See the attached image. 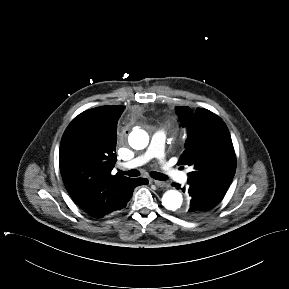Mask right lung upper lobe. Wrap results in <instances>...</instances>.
Masks as SVG:
<instances>
[{
  "mask_svg": "<svg viewBox=\"0 0 289 289\" xmlns=\"http://www.w3.org/2000/svg\"><path fill=\"white\" fill-rule=\"evenodd\" d=\"M124 106H101L79 114L60 144L59 166L72 199L100 218L119 211L133 178L111 171L117 161V123Z\"/></svg>",
  "mask_w": 289,
  "mask_h": 289,
  "instance_id": "right-lung-upper-lobe-1",
  "label": "right lung upper lobe"
}]
</instances>
